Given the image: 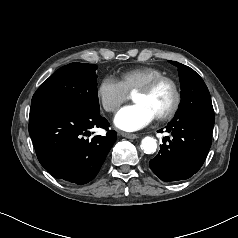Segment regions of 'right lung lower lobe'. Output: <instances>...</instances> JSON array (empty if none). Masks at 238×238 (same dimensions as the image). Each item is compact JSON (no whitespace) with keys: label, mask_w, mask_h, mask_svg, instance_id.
<instances>
[{"label":"right lung lower lobe","mask_w":238,"mask_h":238,"mask_svg":"<svg viewBox=\"0 0 238 238\" xmlns=\"http://www.w3.org/2000/svg\"><path fill=\"white\" fill-rule=\"evenodd\" d=\"M108 130L100 112L61 104H32L29 134L41 165L55 178L85 184L97 175L117 132L90 136L92 128Z\"/></svg>","instance_id":"obj_1"}]
</instances>
